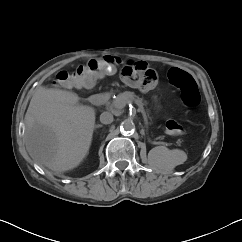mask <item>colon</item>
Wrapping results in <instances>:
<instances>
[{
	"label": "colon",
	"instance_id": "colon-1",
	"mask_svg": "<svg viewBox=\"0 0 242 242\" xmlns=\"http://www.w3.org/2000/svg\"><path fill=\"white\" fill-rule=\"evenodd\" d=\"M138 63V62H137ZM124 62L117 56L105 55L97 59H91L87 63L73 70L61 71L56 77V83L66 88H88L94 85L97 76L103 72H113L122 68V75L131 83L144 87H152L156 83L157 75L145 64ZM171 83L181 90V99L187 108H195L200 103V93L190 74L178 68H172L169 72ZM166 132L169 135H180L182 126L170 120L166 123Z\"/></svg>",
	"mask_w": 242,
	"mask_h": 242
}]
</instances>
